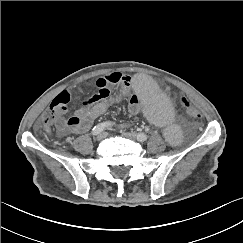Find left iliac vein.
I'll list each match as a JSON object with an SVG mask.
<instances>
[{
  "label": "left iliac vein",
  "mask_w": 243,
  "mask_h": 243,
  "mask_svg": "<svg viewBox=\"0 0 243 243\" xmlns=\"http://www.w3.org/2000/svg\"><path fill=\"white\" fill-rule=\"evenodd\" d=\"M122 135L131 139H137V134L134 132H122Z\"/></svg>",
  "instance_id": "1"
}]
</instances>
